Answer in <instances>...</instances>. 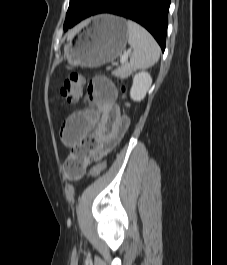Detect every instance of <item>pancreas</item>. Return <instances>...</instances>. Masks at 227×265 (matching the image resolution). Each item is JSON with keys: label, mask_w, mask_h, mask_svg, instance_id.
I'll use <instances>...</instances> for the list:
<instances>
[{"label": "pancreas", "mask_w": 227, "mask_h": 265, "mask_svg": "<svg viewBox=\"0 0 227 265\" xmlns=\"http://www.w3.org/2000/svg\"><path fill=\"white\" fill-rule=\"evenodd\" d=\"M131 73H132V70L127 64L122 65L121 67H119L113 72L115 76H118L123 79L129 77Z\"/></svg>", "instance_id": "pancreas-1"}]
</instances>
